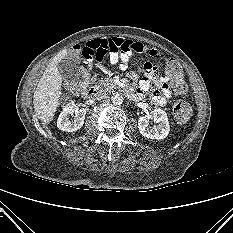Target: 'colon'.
I'll use <instances>...</instances> for the list:
<instances>
[{"mask_svg": "<svg viewBox=\"0 0 233 233\" xmlns=\"http://www.w3.org/2000/svg\"><path fill=\"white\" fill-rule=\"evenodd\" d=\"M166 69L170 75V81L168 82L169 88L177 94H184L187 90V86L183 79L182 68L179 62L174 59L169 60L166 65ZM69 86L73 92L82 95L87 87V77L84 76L82 80L73 82ZM191 114L192 107L188 102L178 100L174 103L173 115L178 122L187 121Z\"/></svg>", "mask_w": 233, "mask_h": 233, "instance_id": "colon-1", "label": "colon"}]
</instances>
